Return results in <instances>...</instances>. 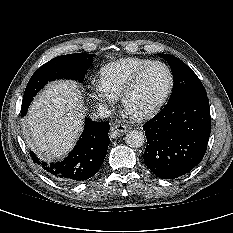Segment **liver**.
<instances>
[{
    "instance_id": "1",
    "label": "liver",
    "mask_w": 233,
    "mask_h": 233,
    "mask_svg": "<svg viewBox=\"0 0 233 233\" xmlns=\"http://www.w3.org/2000/svg\"><path fill=\"white\" fill-rule=\"evenodd\" d=\"M84 101L73 81L49 84L33 101L26 117L31 145L44 160L66 155L83 129Z\"/></svg>"
}]
</instances>
